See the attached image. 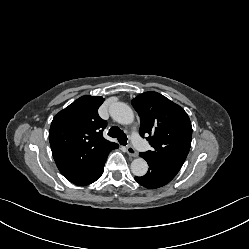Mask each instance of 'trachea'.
<instances>
[{"instance_id":"obj_1","label":"trachea","mask_w":249,"mask_h":249,"mask_svg":"<svg viewBox=\"0 0 249 249\" xmlns=\"http://www.w3.org/2000/svg\"><path fill=\"white\" fill-rule=\"evenodd\" d=\"M108 135L112 138H117L121 145L127 144L126 134L117 126H113L109 129Z\"/></svg>"}]
</instances>
